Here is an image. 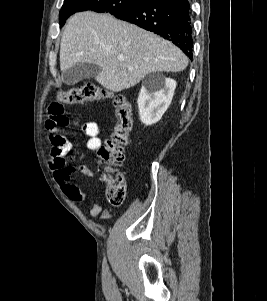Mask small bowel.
<instances>
[{"label":"small bowel","instance_id":"1","mask_svg":"<svg viewBox=\"0 0 267 301\" xmlns=\"http://www.w3.org/2000/svg\"><path fill=\"white\" fill-rule=\"evenodd\" d=\"M48 118L45 122V128L48 133V139L51 143L49 166L54 173V178L61 191L72 201L82 202L87 194L71 181L73 173L94 177L95 172L84 165L86 159L85 152H72V144L61 133L60 129L70 124L69 117L65 108L60 102H51L47 108ZM81 134L87 138L86 147L88 150H97L101 147L99 135L101 128L96 122L90 121L81 124ZM90 217L101 220L111 218V213L105 210L97 202L90 208Z\"/></svg>","mask_w":267,"mask_h":301}]
</instances>
